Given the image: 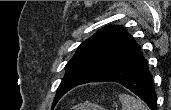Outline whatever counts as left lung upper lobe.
<instances>
[{"label":"left lung upper lobe","instance_id":"5c2ea615","mask_svg":"<svg viewBox=\"0 0 171 110\" xmlns=\"http://www.w3.org/2000/svg\"><path fill=\"white\" fill-rule=\"evenodd\" d=\"M139 48L133 37L119 25H110L98 30L78 47L65 66L66 74L57 89L52 107L70 89L88 83L117 66Z\"/></svg>","mask_w":171,"mask_h":110}]
</instances>
